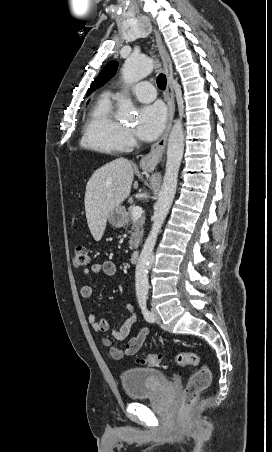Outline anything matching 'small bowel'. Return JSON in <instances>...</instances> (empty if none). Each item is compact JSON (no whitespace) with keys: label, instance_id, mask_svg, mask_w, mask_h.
Returning <instances> with one entry per match:
<instances>
[{"label":"small bowel","instance_id":"1","mask_svg":"<svg viewBox=\"0 0 272 452\" xmlns=\"http://www.w3.org/2000/svg\"><path fill=\"white\" fill-rule=\"evenodd\" d=\"M117 267L116 264L112 260H105L100 263H94L90 269H85L83 272L85 275H88L90 273L93 274H105L107 276H113L116 274ZM80 294L82 298L89 299L93 296V287L89 284H85L80 289ZM126 311L128 314V318L125 320V322L118 328V329H112V336L115 339L123 340L130 336L131 331L134 327V325L137 322V314L134 306L131 303H127ZM88 321L90 325L92 326L93 330L96 332H106L110 329V324L107 319L102 318L98 319L95 314H91L88 317ZM149 335V329L143 328L141 329L136 336L130 338L131 340H138L139 342V350L142 347L144 341ZM108 345V342H105ZM138 350V351H139ZM113 356L116 358L121 357L122 353L119 350H112Z\"/></svg>","mask_w":272,"mask_h":452}]
</instances>
